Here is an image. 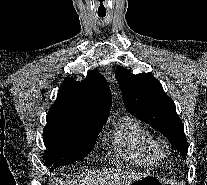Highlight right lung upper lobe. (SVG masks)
<instances>
[{"label":"right lung upper lobe","instance_id":"1","mask_svg":"<svg viewBox=\"0 0 207 185\" xmlns=\"http://www.w3.org/2000/svg\"><path fill=\"white\" fill-rule=\"evenodd\" d=\"M111 105L112 97L107 81L97 71H90L81 83L73 79L63 82L46 119L47 122L102 128Z\"/></svg>","mask_w":207,"mask_h":185}]
</instances>
